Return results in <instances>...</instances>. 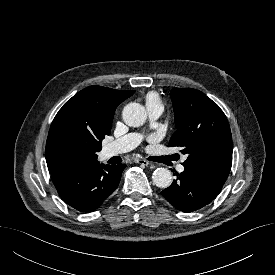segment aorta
<instances>
[{"label":"aorta","instance_id":"aorta-1","mask_svg":"<svg viewBox=\"0 0 275 275\" xmlns=\"http://www.w3.org/2000/svg\"><path fill=\"white\" fill-rule=\"evenodd\" d=\"M122 118L128 126L139 127L145 123L147 112L143 105L131 102L123 108ZM152 180L157 187L167 188L172 183V173L166 168H158L153 172Z\"/></svg>","mask_w":275,"mask_h":275}]
</instances>
